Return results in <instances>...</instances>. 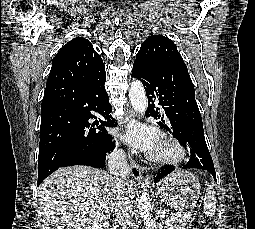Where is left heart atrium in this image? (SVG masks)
<instances>
[{
  "label": "left heart atrium",
  "mask_w": 255,
  "mask_h": 229,
  "mask_svg": "<svg viewBox=\"0 0 255 229\" xmlns=\"http://www.w3.org/2000/svg\"><path fill=\"white\" fill-rule=\"evenodd\" d=\"M124 137L136 148L150 153L155 152L160 143L156 130L143 124L130 125Z\"/></svg>",
  "instance_id": "1"
}]
</instances>
